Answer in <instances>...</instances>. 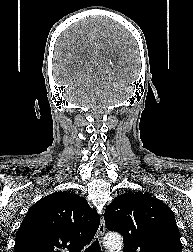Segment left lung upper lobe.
<instances>
[{
    "mask_svg": "<svg viewBox=\"0 0 193 252\" xmlns=\"http://www.w3.org/2000/svg\"><path fill=\"white\" fill-rule=\"evenodd\" d=\"M109 231L124 238V252H182L180 233L171 209L143 192H127L106 208Z\"/></svg>",
    "mask_w": 193,
    "mask_h": 252,
    "instance_id": "1",
    "label": "left lung upper lobe"
}]
</instances>
